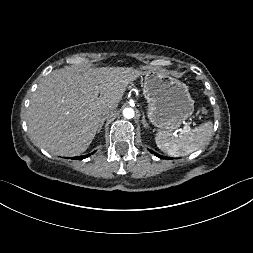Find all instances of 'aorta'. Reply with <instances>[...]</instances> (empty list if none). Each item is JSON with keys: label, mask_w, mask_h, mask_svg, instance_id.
<instances>
[{"label": "aorta", "mask_w": 253, "mask_h": 253, "mask_svg": "<svg viewBox=\"0 0 253 253\" xmlns=\"http://www.w3.org/2000/svg\"><path fill=\"white\" fill-rule=\"evenodd\" d=\"M123 116L128 119L133 118L134 117V110L132 108H125L123 110Z\"/></svg>", "instance_id": "762f6f07"}]
</instances>
